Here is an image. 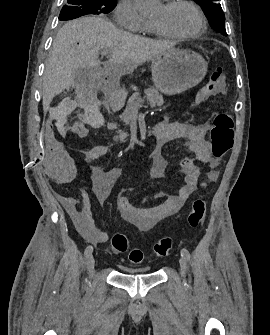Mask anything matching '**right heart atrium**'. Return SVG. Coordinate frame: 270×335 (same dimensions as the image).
Here are the masks:
<instances>
[{"label":"right heart atrium","instance_id":"obj_1","mask_svg":"<svg viewBox=\"0 0 270 335\" xmlns=\"http://www.w3.org/2000/svg\"><path fill=\"white\" fill-rule=\"evenodd\" d=\"M114 21L128 31L145 32L146 20L139 13L135 0H120L114 10Z\"/></svg>","mask_w":270,"mask_h":335}]
</instances>
